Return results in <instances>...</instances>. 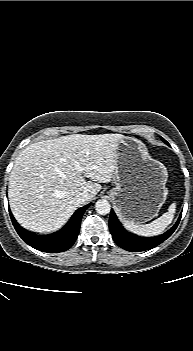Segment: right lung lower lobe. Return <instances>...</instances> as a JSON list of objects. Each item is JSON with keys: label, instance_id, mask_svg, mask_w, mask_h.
Segmentation results:
<instances>
[{"label": "right lung lower lobe", "instance_id": "obj_1", "mask_svg": "<svg viewBox=\"0 0 193 351\" xmlns=\"http://www.w3.org/2000/svg\"><path fill=\"white\" fill-rule=\"evenodd\" d=\"M90 204L79 208L68 223L58 232L49 235H37L24 230L16 222L12 213L10 217L19 236L31 247L48 253H58L68 250L76 241L81 224V217Z\"/></svg>", "mask_w": 193, "mask_h": 351}]
</instances>
